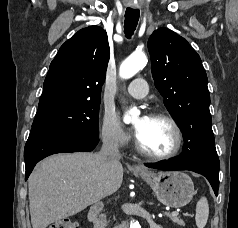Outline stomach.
Segmentation results:
<instances>
[{
    "mask_svg": "<svg viewBox=\"0 0 238 228\" xmlns=\"http://www.w3.org/2000/svg\"><path fill=\"white\" fill-rule=\"evenodd\" d=\"M134 173L141 176L153 189L158 200L168 207L180 208L187 205L195 193L191 178L180 171Z\"/></svg>",
    "mask_w": 238,
    "mask_h": 228,
    "instance_id": "0dacf381",
    "label": "stomach"
}]
</instances>
